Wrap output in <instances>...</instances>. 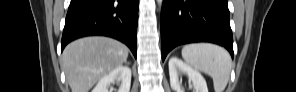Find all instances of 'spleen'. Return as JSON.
I'll return each instance as SVG.
<instances>
[{
	"label": "spleen",
	"mask_w": 296,
	"mask_h": 92,
	"mask_svg": "<svg viewBox=\"0 0 296 92\" xmlns=\"http://www.w3.org/2000/svg\"><path fill=\"white\" fill-rule=\"evenodd\" d=\"M182 57L191 67L212 77L215 92L224 91L232 64L225 49L209 43L188 44L182 49Z\"/></svg>",
	"instance_id": "obj_1"
}]
</instances>
